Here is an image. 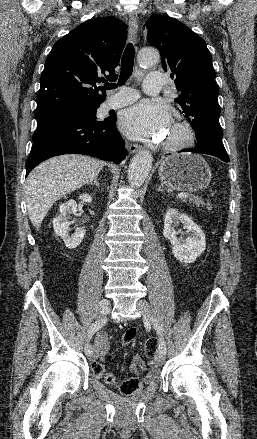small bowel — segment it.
Masks as SVG:
<instances>
[{
	"label": "small bowel",
	"mask_w": 257,
	"mask_h": 439,
	"mask_svg": "<svg viewBox=\"0 0 257 439\" xmlns=\"http://www.w3.org/2000/svg\"><path fill=\"white\" fill-rule=\"evenodd\" d=\"M110 344L106 333L97 334L94 340V350L96 358H104L109 352ZM129 370L132 374L140 376L141 382L144 384L151 383L159 373L158 366L155 361L145 363L141 357L135 355L130 363Z\"/></svg>",
	"instance_id": "c3829d8e"
}]
</instances>
